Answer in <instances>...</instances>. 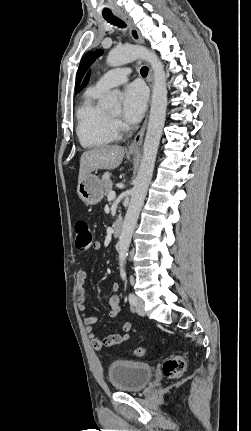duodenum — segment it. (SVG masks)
Masks as SVG:
<instances>
[{
  "mask_svg": "<svg viewBox=\"0 0 251 431\" xmlns=\"http://www.w3.org/2000/svg\"><path fill=\"white\" fill-rule=\"evenodd\" d=\"M123 229V220L118 218L113 225V234L115 237H118Z\"/></svg>",
  "mask_w": 251,
  "mask_h": 431,
  "instance_id": "duodenum-1",
  "label": "duodenum"
}]
</instances>
